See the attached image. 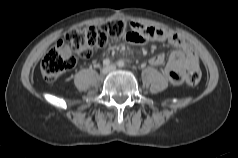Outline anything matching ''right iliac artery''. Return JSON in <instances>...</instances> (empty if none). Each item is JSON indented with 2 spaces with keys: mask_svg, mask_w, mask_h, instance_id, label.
Masks as SVG:
<instances>
[{
  "mask_svg": "<svg viewBox=\"0 0 238 158\" xmlns=\"http://www.w3.org/2000/svg\"><path fill=\"white\" fill-rule=\"evenodd\" d=\"M103 65H104V66H109V65H110V60H109V59H105V60L103 61Z\"/></svg>",
  "mask_w": 238,
  "mask_h": 158,
  "instance_id": "obj_1",
  "label": "right iliac artery"
}]
</instances>
